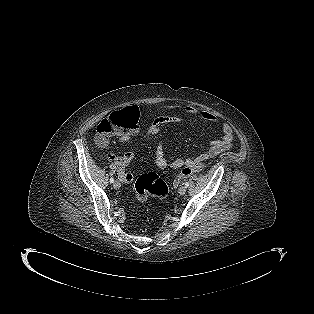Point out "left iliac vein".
Wrapping results in <instances>:
<instances>
[{
	"label": "left iliac vein",
	"instance_id": "1",
	"mask_svg": "<svg viewBox=\"0 0 314 314\" xmlns=\"http://www.w3.org/2000/svg\"><path fill=\"white\" fill-rule=\"evenodd\" d=\"M187 187H185V186H181L180 188H179V190H178V193L180 194V195H184L185 193H186V189Z\"/></svg>",
	"mask_w": 314,
	"mask_h": 314
}]
</instances>
